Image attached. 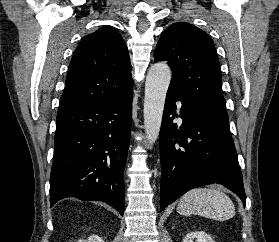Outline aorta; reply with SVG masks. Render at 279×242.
I'll use <instances>...</instances> for the list:
<instances>
[{"label":"aorta","mask_w":279,"mask_h":242,"mask_svg":"<svg viewBox=\"0 0 279 242\" xmlns=\"http://www.w3.org/2000/svg\"><path fill=\"white\" fill-rule=\"evenodd\" d=\"M171 70L164 62L152 65L147 73L144 99V128L150 145L159 136Z\"/></svg>","instance_id":"1"}]
</instances>
